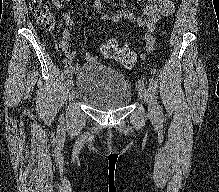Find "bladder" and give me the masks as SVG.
Here are the masks:
<instances>
[{"instance_id": "obj_1", "label": "bladder", "mask_w": 219, "mask_h": 192, "mask_svg": "<svg viewBox=\"0 0 219 192\" xmlns=\"http://www.w3.org/2000/svg\"><path fill=\"white\" fill-rule=\"evenodd\" d=\"M76 85V97L89 108L99 111L123 109L133 98L127 78L99 62L81 66L76 74Z\"/></svg>"}]
</instances>
